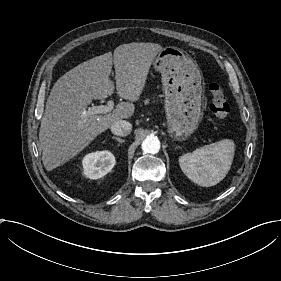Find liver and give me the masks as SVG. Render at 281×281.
I'll return each mask as SVG.
<instances>
[{"label":"liver","mask_w":281,"mask_h":281,"mask_svg":"<svg viewBox=\"0 0 281 281\" xmlns=\"http://www.w3.org/2000/svg\"><path fill=\"white\" fill-rule=\"evenodd\" d=\"M161 49L160 44L152 42L124 43L116 47L113 55L116 83L109 77L110 52L78 64L54 83L39 130L46 170H52L76 155L98 134L132 115L134 104L120 102L113 113L83 117L92 98L105 99L115 89L119 97L136 100L149 66Z\"/></svg>","instance_id":"liver-1"}]
</instances>
